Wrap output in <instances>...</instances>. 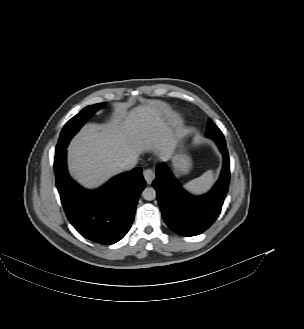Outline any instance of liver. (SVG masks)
<instances>
[{
	"label": "liver",
	"instance_id": "1",
	"mask_svg": "<svg viewBox=\"0 0 304 329\" xmlns=\"http://www.w3.org/2000/svg\"><path fill=\"white\" fill-rule=\"evenodd\" d=\"M177 115L165 102L153 100L127 112L120 107L105 124H86L68 147L70 174L95 188L117 174L119 163L153 149L166 159Z\"/></svg>",
	"mask_w": 304,
	"mask_h": 329
}]
</instances>
